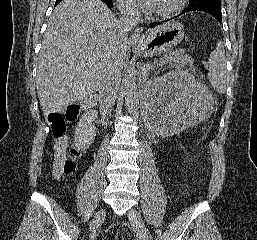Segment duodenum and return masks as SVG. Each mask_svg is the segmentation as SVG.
I'll use <instances>...</instances> for the list:
<instances>
[{"label":"duodenum","mask_w":257,"mask_h":240,"mask_svg":"<svg viewBox=\"0 0 257 240\" xmlns=\"http://www.w3.org/2000/svg\"><path fill=\"white\" fill-rule=\"evenodd\" d=\"M95 106H96V97L93 95L86 97L82 101L83 110L88 116V118L91 117V115L93 114Z\"/></svg>","instance_id":"410a0bca"}]
</instances>
